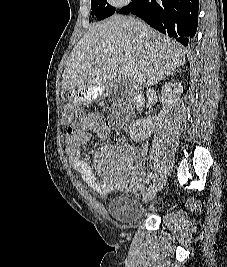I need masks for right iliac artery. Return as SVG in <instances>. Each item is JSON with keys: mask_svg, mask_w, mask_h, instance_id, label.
<instances>
[{"mask_svg": "<svg viewBox=\"0 0 227 267\" xmlns=\"http://www.w3.org/2000/svg\"><path fill=\"white\" fill-rule=\"evenodd\" d=\"M151 178H152V173H150V174L148 175V177L146 178L145 183H146V184H149ZM153 186H154V185H153Z\"/></svg>", "mask_w": 227, "mask_h": 267, "instance_id": "right-iliac-artery-1", "label": "right iliac artery"}]
</instances>
